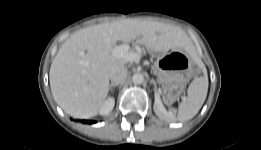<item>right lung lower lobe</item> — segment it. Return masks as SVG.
Listing matches in <instances>:
<instances>
[{
    "instance_id": "right-lung-lower-lobe-1",
    "label": "right lung lower lobe",
    "mask_w": 261,
    "mask_h": 150,
    "mask_svg": "<svg viewBox=\"0 0 261 150\" xmlns=\"http://www.w3.org/2000/svg\"><path fill=\"white\" fill-rule=\"evenodd\" d=\"M82 123H89V124H91V123H95V121L82 120Z\"/></svg>"
}]
</instances>
